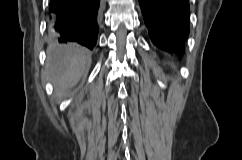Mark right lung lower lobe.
I'll use <instances>...</instances> for the list:
<instances>
[{
    "label": "right lung lower lobe",
    "instance_id": "right-lung-lower-lobe-1",
    "mask_svg": "<svg viewBox=\"0 0 242 160\" xmlns=\"http://www.w3.org/2000/svg\"><path fill=\"white\" fill-rule=\"evenodd\" d=\"M103 0H50L49 33L60 43L77 42L93 49Z\"/></svg>",
    "mask_w": 242,
    "mask_h": 160
}]
</instances>
